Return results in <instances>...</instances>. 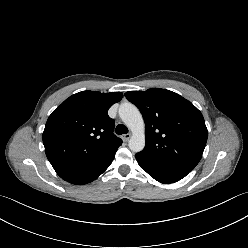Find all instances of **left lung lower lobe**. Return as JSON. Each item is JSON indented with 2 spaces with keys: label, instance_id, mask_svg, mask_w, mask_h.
<instances>
[{
  "label": "left lung lower lobe",
  "instance_id": "left-lung-lower-lobe-1",
  "mask_svg": "<svg viewBox=\"0 0 248 248\" xmlns=\"http://www.w3.org/2000/svg\"><path fill=\"white\" fill-rule=\"evenodd\" d=\"M139 166L151 177L161 183H174L184 178L190 171L164 166L147 161L138 155L135 156Z\"/></svg>",
  "mask_w": 248,
  "mask_h": 248
}]
</instances>
